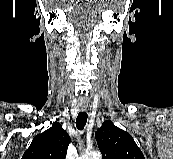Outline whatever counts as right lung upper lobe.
Listing matches in <instances>:
<instances>
[{
    "instance_id": "right-lung-upper-lobe-1",
    "label": "right lung upper lobe",
    "mask_w": 173,
    "mask_h": 159,
    "mask_svg": "<svg viewBox=\"0 0 173 159\" xmlns=\"http://www.w3.org/2000/svg\"><path fill=\"white\" fill-rule=\"evenodd\" d=\"M70 137L56 122L32 140L22 159H65Z\"/></svg>"
}]
</instances>
